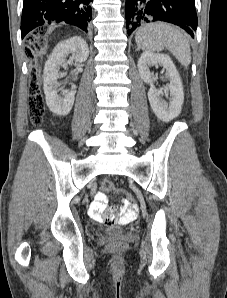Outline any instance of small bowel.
<instances>
[{
	"instance_id": "small-bowel-1",
	"label": "small bowel",
	"mask_w": 227,
	"mask_h": 298,
	"mask_svg": "<svg viewBox=\"0 0 227 298\" xmlns=\"http://www.w3.org/2000/svg\"><path fill=\"white\" fill-rule=\"evenodd\" d=\"M107 192L102 189V191H99L94 201L91 203L89 208V213L91 217L95 220H102L104 219V214L107 210L108 205V197ZM122 210L124 211V217L122 218V221H130L137 212V207H127L123 205Z\"/></svg>"
}]
</instances>
